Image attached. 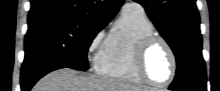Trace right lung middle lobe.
I'll return each mask as SVG.
<instances>
[{
    "label": "right lung middle lobe",
    "mask_w": 220,
    "mask_h": 91,
    "mask_svg": "<svg viewBox=\"0 0 220 91\" xmlns=\"http://www.w3.org/2000/svg\"><path fill=\"white\" fill-rule=\"evenodd\" d=\"M106 25L86 21L54 19L29 24L25 36V58L21 78L35 75L52 65L88 69L87 51Z\"/></svg>",
    "instance_id": "right-lung-middle-lobe-1"
}]
</instances>
